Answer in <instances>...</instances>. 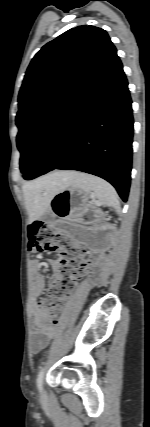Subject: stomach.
<instances>
[{"label":"stomach","mask_w":150,"mask_h":427,"mask_svg":"<svg viewBox=\"0 0 150 427\" xmlns=\"http://www.w3.org/2000/svg\"><path fill=\"white\" fill-rule=\"evenodd\" d=\"M89 196L82 188L71 184L53 196L50 209L59 218L78 221L90 207Z\"/></svg>","instance_id":"0dacf381"}]
</instances>
